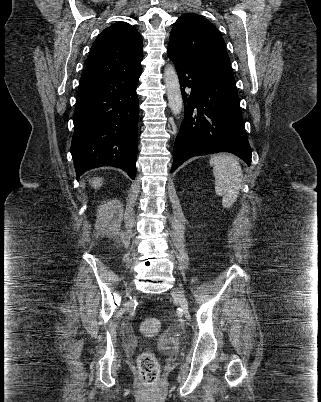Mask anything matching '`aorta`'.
Returning a JSON list of instances; mask_svg holds the SVG:
<instances>
[{
  "label": "aorta",
  "mask_w": 321,
  "mask_h": 402,
  "mask_svg": "<svg viewBox=\"0 0 321 402\" xmlns=\"http://www.w3.org/2000/svg\"><path fill=\"white\" fill-rule=\"evenodd\" d=\"M164 83L167 90L169 107L174 115H178L181 113L183 108V99L178 75L172 65H169L165 68Z\"/></svg>",
  "instance_id": "1"
}]
</instances>
